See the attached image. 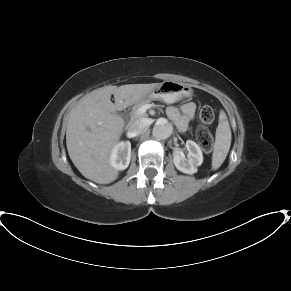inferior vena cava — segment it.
I'll return each instance as SVG.
<instances>
[{"instance_id": "obj_1", "label": "inferior vena cava", "mask_w": 291, "mask_h": 291, "mask_svg": "<svg viewBox=\"0 0 291 291\" xmlns=\"http://www.w3.org/2000/svg\"><path fill=\"white\" fill-rule=\"evenodd\" d=\"M151 123L149 118H140L133 121L128 128V134L131 137H135L140 134Z\"/></svg>"}]
</instances>
